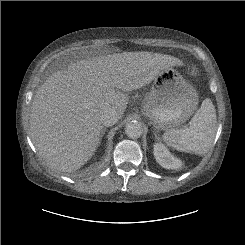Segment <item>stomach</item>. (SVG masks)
Wrapping results in <instances>:
<instances>
[{
	"label": "stomach",
	"instance_id": "0dacf381",
	"mask_svg": "<svg viewBox=\"0 0 245 245\" xmlns=\"http://www.w3.org/2000/svg\"><path fill=\"white\" fill-rule=\"evenodd\" d=\"M198 93L183 76L170 67L154 79L142 111L158 130H170L186 122L196 111Z\"/></svg>",
	"mask_w": 245,
	"mask_h": 245
}]
</instances>
